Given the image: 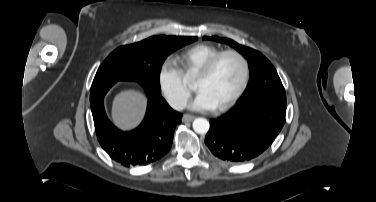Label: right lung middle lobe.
Instances as JSON below:
<instances>
[{
  "instance_id": "dd1d6c3e",
  "label": "right lung middle lobe",
  "mask_w": 376,
  "mask_h": 202,
  "mask_svg": "<svg viewBox=\"0 0 376 202\" xmlns=\"http://www.w3.org/2000/svg\"><path fill=\"white\" fill-rule=\"evenodd\" d=\"M197 37L152 36L113 51L99 67L92 86L103 82L131 80L160 90V70L164 60L176 49Z\"/></svg>"
}]
</instances>
